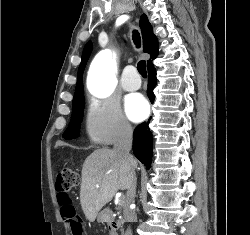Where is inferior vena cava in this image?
I'll list each match as a JSON object with an SVG mask.
<instances>
[{
  "mask_svg": "<svg viewBox=\"0 0 250 235\" xmlns=\"http://www.w3.org/2000/svg\"><path fill=\"white\" fill-rule=\"evenodd\" d=\"M133 131L132 128L126 124L122 123L115 146L114 151L117 153L119 158L129 167L133 163V157L130 154L132 147ZM136 193V177L132 178V181L127 189V202L124 207V217L128 222H135L137 220V215L130 205L135 198ZM125 235H132L131 230L128 229Z\"/></svg>",
  "mask_w": 250,
  "mask_h": 235,
  "instance_id": "1",
  "label": "inferior vena cava"
}]
</instances>
